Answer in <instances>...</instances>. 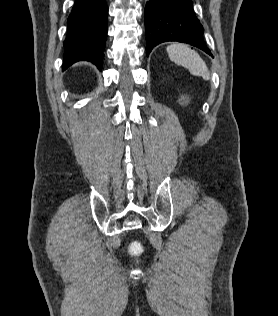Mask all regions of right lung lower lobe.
I'll list each match as a JSON object with an SVG mask.
<instances>
[{"mask_svg":"<svg viewBox=\"0 0 278 316\" xmlns=\"http://www.w3.org/2000/svg\"><path fill=\"white\" fill-rule=\"evenodd\" d=\"M67 25L63 70L82 60L101 70L107 36L106 1L75 0Z\"/></svg>","mask_w":278,"mask_h":316,"instance_id":"right-lung-lower-lobe-1","label":"right lung lower lobe"}]
</instances>
